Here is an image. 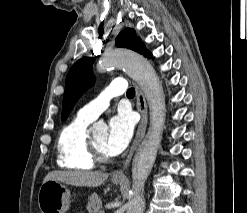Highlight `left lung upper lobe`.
<instances>
[{
	"instance_id": "5c2ea615",
	"label": "left lung upper lobe",
	"mask_w": 247,
	"mask_h": 213,
	"mask_svg": "<svg viewBox=\"0 0 247 213\" xmlns=\"http://www.w3.org/2000/svg\"><path fill=\"white\" fill-rule=\"evenodd\" d=\"M115 41L117 47L132 49L145 57H152L151 53L146 50L142 40L136 36L133 29L128 28L120 32ZM93 62L94 58L84 57L71 67L66 78L63 96L61 117L63 121L66 120L79 97L93 85L95 79L92 71Z\"/></svg>"
}]
</instances>
